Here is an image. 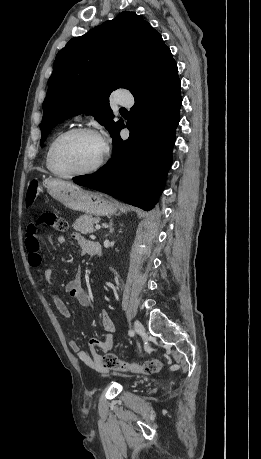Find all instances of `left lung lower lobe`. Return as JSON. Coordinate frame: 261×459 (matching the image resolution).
<instances>
[{"instance_id": "0a47b994", "label": "left lung lower lobe", "mask_w": 261, "mask_h": 459, "mask_svg": "<svg viewBox=\"0 0 261 459\" xmlns=\"http://www.w3.org/2000/svg\"><path fill=\"white\" fill-rule=\"evenodd\" d=\"M180 87L174 61L148 87L133 95L130 118L113 137L109 162L96 173L74 178L73 182L144 210L152 209L172 164L182 103ZM125 127L130 135L123 141L120 130Z\"/></svg>"}]
</instances>
